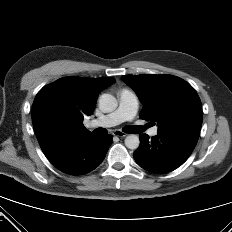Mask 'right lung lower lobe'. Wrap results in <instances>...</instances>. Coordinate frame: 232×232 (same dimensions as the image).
I'll return each mask as SVG.
<instances>
[{"mask_svg":"<svg viewBox=\"0 0 232 232\" xmlns=\"http://www.w3.org/2000/svg\"><path fill=\"white\" fill-rule=\"evenodd\" d=\"M112 139L110 134H90L74 140L57 142L42 151L60 171L71 175H83L100 165Z\"/></svg>","mask_w":232,"mask_h":232,"instance_id":"right-lung-lower-lobe-1","label":"right lung lower lobe"}]
</instances>
